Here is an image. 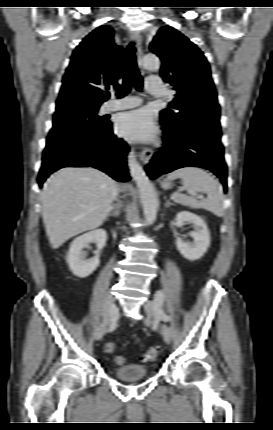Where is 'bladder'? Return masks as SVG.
<instances>
[{
	"label": "bladder",
	"instance_id": "obj_1",
	"mask_svg": "<svg viewBox=\"0 0 273 430\" xmlns=\"http://www.w3.org/2000/svg\"><path fill=\"white\" fill-rule=\"evenodd\" d=\"M113 375L120 381L134 382L148 376L147 368L141 364H125L113 370Z\"/></svg>",
	"mask_w": 273,
	"mask_h": 430
}]
</instances>
